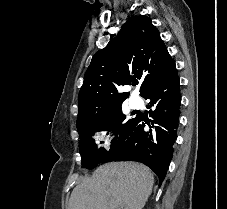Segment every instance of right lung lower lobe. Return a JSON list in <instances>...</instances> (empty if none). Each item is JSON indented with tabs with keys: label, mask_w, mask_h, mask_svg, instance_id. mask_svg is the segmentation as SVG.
<instances>
[{
	"label": "right lung lower lobe",
	"mask_w": 227,
	"mask_h": 209,
	"mask_svg": "<svg viewBox=\"0 0 227 209\" xmlns=\"http://www.w3.org/2000/svg\"><path fill=\"white\" fill-rule=\"evenodd\" d=\"M150 99L149 116L153 119L145 127L143 115L138 114L126 131L103 157L102 162L138 161L158 176L160 184L164 180L177 137L180 116L179 77L175 62L158 69L156 78L143 96Z\"/></svg>",
	"instance_id": "98d812e1"
}]
</instances>
